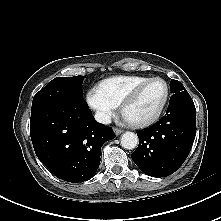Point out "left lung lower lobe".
<instances>
[{"instance_id":"obj_1","label":"left lung lower lobe","mask_w":221,"mask_h":221,"mask_svg":"<svg viewBox=\"0 0 221 221\" xmlns=\"http://www.w3.org/2000/svg\"><path fill=\"white\" fill-rule=\"evenodd\" d=\"M139 146L131 155L147 175L174 173L190 153L196 135V109L191 97L169 103L167 113L152 127L137 131Z\"/></svg>"}]
</instances>
